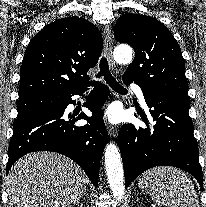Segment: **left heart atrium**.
Masks as SVG:
<instances>
[{
  "label": "left heart atrium",
  "instance_id": "left-heart-atrium-1",
  "mask_svg": "<svg viewBox=\"0 0 206 207\" xmlns=\"http://www.w3.org/2000/svg\"><path fill=\"white\" fill-rule=\"evenodd\" d=\"M106 121H108L109 123H117L119 122L120 120V112L118 109L116 108H109L107 109V111L105 112V115H104Z\"/></svg>",
  "mask_w": 206,
  "mask_h": 207
}]
</instances>
